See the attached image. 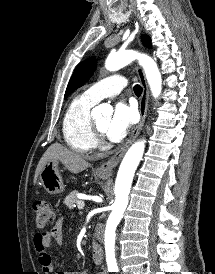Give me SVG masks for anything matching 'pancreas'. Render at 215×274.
Returning <instances> with one entry per match:
<instances>
[{"label":"pancreas","mask_w":215,"mask_h":274,"mask_svg":"<svg viewBox=\"0 0 215 274\" xmlns=\"http://www.w3.org/2000/svg\"><path fill=\"white\" fill-rule=\"evenodd\" d=\"M78 191H72L69 195L66 196L64 204L69 208L73 209L74 204L78 202Z\"/></svg>","instance_id":"cf45deb5"}]
</instances>
